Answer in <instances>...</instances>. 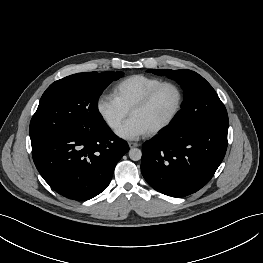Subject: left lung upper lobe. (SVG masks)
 I'll return each instance as SVG.
<instances>
[{"mask_svg": "<svg viewBox=\"0 0 263 263\" xmlns=\"http://www.w3.org/2000/svg\"><path fill=\"white\" fill-rule=\"evenodd\" d=\"M157 75L176 80L184 90L182 109L168 127L193 132L204 126L228 123V114L212 86L191 70L152 69Z\"/></svg>", "mask_w": 263, "mask_h": 263, "instance_id": "1", "label": "left lung upper lobe"}]
</instances>
